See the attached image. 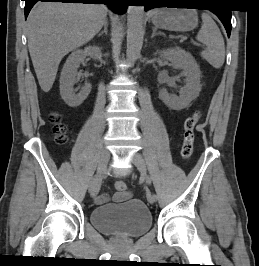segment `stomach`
<instances>
[{
    "label": "stomach",
    "mask_w": 259,
    "mask_h": 266,
    "mask_svg": "<svg viewBox=\"0 0 259 266\" xmlns=\"http://www.w3.org/2000/svg\"><path fill=\"white\" fill-rule=\"evenodd\" d=\"M152 23L159 28L186 32L198 24V15L193 9H157L152 13Z\"/></svg>",
    "instance_id": "stomach-1"
}]
</instances>
